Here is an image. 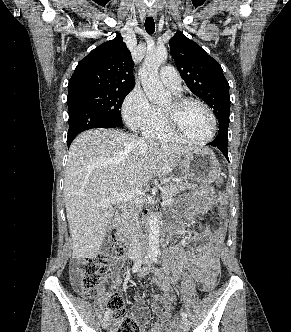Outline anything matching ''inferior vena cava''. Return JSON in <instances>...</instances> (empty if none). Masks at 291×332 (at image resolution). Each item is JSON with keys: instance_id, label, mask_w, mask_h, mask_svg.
Returning <instances> with one entry per match:
<instances>
[{"instance_id": "1", "label": "inferior vena cava", "mask_w": 291, "mask_h": 332, "mask_svg": "<svg viewBox=\"0 0 291 332\" xmlns=\"http://www.w3.org/2000/svg\"><path fill=\"white\" fill-rule=\"evenodd\" d=\"M130 228L132 229V233L130 234L129 238L128 252L130 254L139 253L140 252L139 226L134 218H132L130 221Z\"/></svg>"}]
</instances>
